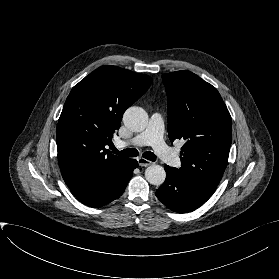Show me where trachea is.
<instances>
[{
	"instance_id": "3493384b",
	"label": "trachea",
	"mask_w": 279,
	"mask_h": 279,
	"mask_svg": "<svg viewBox=\"0 0 279 279\" xmlns=\"http://www.w3.org/2000/svg\"><path fill=\"white\" fill-rule=\"evenodd\" d=\"M113 153L122 156V157H136L138 156V151L133 148H127L122 151L117 150L115 147L111 148ZM145 159L150 161H156V155L152 152H144L142 155Z\"/></svg>"
}]
</instances>
